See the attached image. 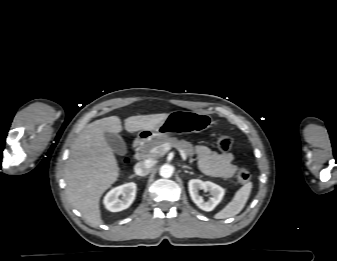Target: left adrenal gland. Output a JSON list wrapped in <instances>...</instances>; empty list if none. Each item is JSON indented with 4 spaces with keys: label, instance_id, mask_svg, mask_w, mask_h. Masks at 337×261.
Returning a JSON list of instances; mask_svg holds the SVG:
<instances>
[{
    "label": "left adrenal gland",
    "instance_id": "a2214340",
    "mask_svg": "<svg viewBox=\"0 0 337 261\" xmlns=\"http://www.w3.org/2000/svg\"><path fill=\"white\" fill-rule=\"evenodd\" d=\"M182 168H183V169H191V167L186 166V165L182 166Z\"/></svg>",
    "mask_w": 337,
    "mask_h": 261
}]
</instances>
